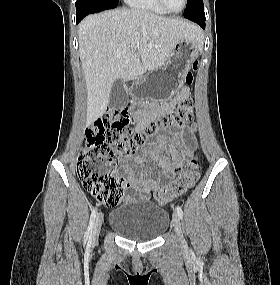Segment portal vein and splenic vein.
I'll return each instance as SVG.
<instances>
[{"mask_svg": "<svg viewBox=\"0 0 280 285\" xmlns=\"http://www.w3.org/2000/svg\"><path fill=\"white\" fill-rule=\"evenodd\" d=\"M139 47H140V45L138 44V45L135 46V49H138Z\"/></svg>", "mask_w": 280, "mask_h": 285, "instance_id": "portal-vein-and-splenic-vein-1", "label": "portal vein and splenic vein"}]
</instances>
